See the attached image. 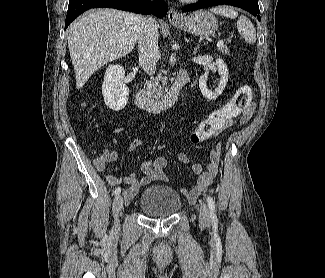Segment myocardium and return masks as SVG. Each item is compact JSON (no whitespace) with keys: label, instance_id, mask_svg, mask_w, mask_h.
Here are the masks:
<instances>
[{"label":"myocardium","instance_id":"f54148a6","mask_svg":"<svg viewBox=\"0 0 325 278\" xmlns=\"http://www.w3.org/2000/svg\"><path fill=\"white\" fill-rule=\"evenodd\" d=\"M182 1H185V2H188V3H192V2H197L199 0H182Z\"/></svg>","mask_w":325,"mask_h":278}]
</instances>
